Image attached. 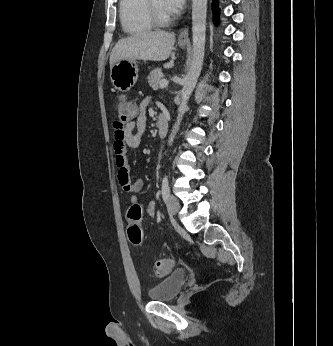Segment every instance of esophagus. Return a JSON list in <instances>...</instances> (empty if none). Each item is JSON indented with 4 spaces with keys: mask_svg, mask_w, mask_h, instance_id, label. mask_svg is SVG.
<instances>
[{
    "mask_svg": "<svg viewBox=\"0 0 333 346\" xmlns=\"http://www.w3.org/2000/svg\"><path fill=\"white\" fill-rule=\"evenodd\" d=\"M178 41L180 42H188L189 41V30L187 27L183 28L178 36Z\"/></svg>",
    "mask_w": 333,
    "mask_h": 346,
    "instance_id": "esophagus-1",
    "label": "esophagus"
}]
</instances>
